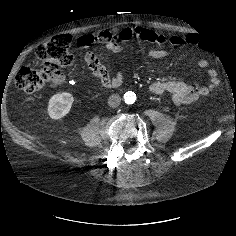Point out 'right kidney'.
<instances>
[{
  "label": "right kidney",
  "mask_w": 236,
  "mask_h": 236,
  "mask_svg": "<svg viewBox=\"0 0 236 236\" xmlns=\"http://www.w3.org/2000/svg\"><path fill=\"white\" fill-rule=\"evenodd\" d=\"M74 97L71 93L63 92L53 95L48 103V115L52 119H60L69 113Z\"/></svg>",
  "instance_id": "obj_1"
}]
</instances>
